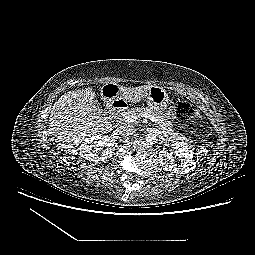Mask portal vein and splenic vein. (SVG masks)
<instances>
[{"label": "portal vein and splenic vein", "instance_id": "obj_1", "mask_svg": "<svg viewBox=\"0 0 255 255\" xmlns=\"http://www.w3.org/2000/svg\"><path fill=\"white\" fill-rule=\"evenodd\" d=\"M140 117H146V118L150 119L151 121L155 122V124L158 125L157 119L155 117L149 115V114H146V113L143 114V115H129V116H126L124 120L127 123H133Z\"/></svg>", "mask_w": 255, "mask_h": 255}]
</instances>
